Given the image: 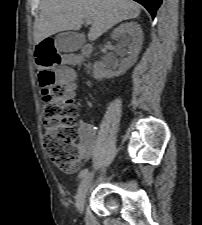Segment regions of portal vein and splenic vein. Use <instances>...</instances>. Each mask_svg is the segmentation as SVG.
<instances>
[{"label":"portal vein and splenic vein","instance_id":"1","mask_svg":"<svg viewBox=\"0 0 202 225\" xmlns=\"http://www.w3.org/2000/svg\"><path fill=\"white\" fill-rule=\"evenodd\" d=\"M86 23H87V24H91L92 22H91V20L86 19Z\"/></svg>","mask_w":202,"mask_h":225}]
</instances>
